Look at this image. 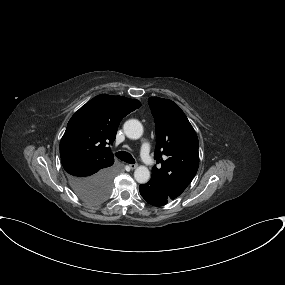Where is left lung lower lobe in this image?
Wrapping results in <instances>:
<instances>
[{
	"instance_id": "obj_1",
	"label": "left lung lower lobe",
	"mask_w": 285,
	"mask_h": 285,
	"mask_svg": "<svg viewBox=\"0 0 285 285\" xmlns=\"http://www.w3.org/2000/svg\"><path fill=\"white\" fill-rule=\"evenodd\" d=\"M139 191L141 196L153 206H163L170 200L175 199L168 193L162 183L154 179H150L148 183L140 185Z\"/></svg>"
}]
</instances>
